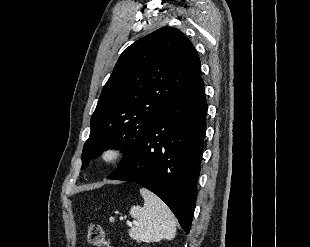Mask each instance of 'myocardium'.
<instances>
[{
  "label": "myocardium",
  "instance_id": "f54148a6",
  "mask_svg": "<svg viewBox=\"0 0 310 247\" xmlns=\"http://www.w3.org/2000/svg\"><path fill=\"white\" fill-rule=\"evenodd\" d=\"M124 153L125 148L122 144L111 143L101 150L100 159L105 164H114L124 156Z\"/></svg>",
  "mask_w": 310,
  "mask_h": 247
}]
</instances>
